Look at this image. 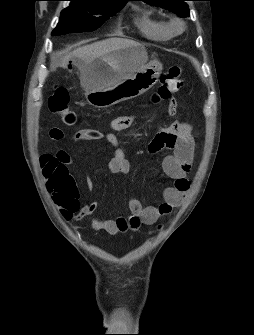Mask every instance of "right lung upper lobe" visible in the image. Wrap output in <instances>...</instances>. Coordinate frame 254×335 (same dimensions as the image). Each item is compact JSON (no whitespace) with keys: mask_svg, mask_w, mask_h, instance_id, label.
I'll return each instance as SVG.
<instances>
[{"mask_svg":"<svg viewBox=\"0 0 254 335\" xmlns=\"http://www.w3.org/2000/svg\"><path fill=\"white\" fill-rule=\"evenodd\" d=\"M86 1L108 3V4H125L129 0H86Z\"/></svg>","mask_w":254,"mask_h":335,"instance_id":"right-lung-upper-lobe-1","label":"right lung upper lobe"}]
</instances>
